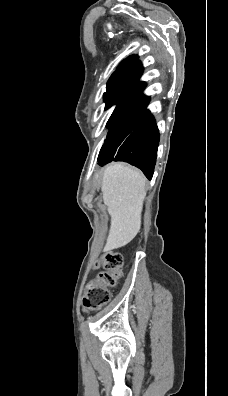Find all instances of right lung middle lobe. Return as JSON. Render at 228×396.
<instances>
[{
	"mask_svg": "<svg viewBox=\"0 0 228 396\" xmlns=\"http://www.w3.org/2000/svg\"><path fill=\"white\" fill-rule=\"evenodd\" d=\"M141 74L142 71H139L108 81L106 92L104 93V100L106 102L105 109L110 108L114 104L117 105L109 121L107 122L109 132L118 119L129 108L135 96L141 89L143 85V82H139Z\"/></svg>",
	"mask_w": 228,
	"mask_h": 396,
	"instance_id": "right-lung-middle-lobe-1",
	"label": "right lung middle lobe"
}]
</instances>
